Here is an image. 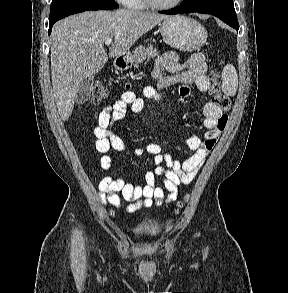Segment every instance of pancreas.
<instances>
[{"label": "pancreas", "mask_w": 288, "mask_h": 293, "mask_svg": "<svg viewBox=\"0 0 288 293\" xmlns=\"http://www.w3.org/2000/svg\"><path fill=\"white\" fill-rule=\"evenodd\" d=\"M158 54L159 52H157L152 45H149L147 48L144 46H139L133 52V61L135 62L134 66L138 67L142 61L146 59L149 60Z\"/></svg>", "instance_id": "cf45deb5"}]
</instances>
